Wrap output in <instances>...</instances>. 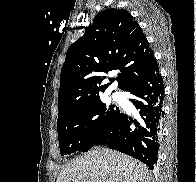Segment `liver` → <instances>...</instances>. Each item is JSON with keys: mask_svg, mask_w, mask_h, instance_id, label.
Here are the masks:
<instances>
[{"mask_svg": "<svg viewBox=\"0 0 196 182\" xmlns=\"http://www.w3.org/2000/svg\"><path fill=\"white\" fill-rule=\"evenodd\" d=\"M56 182H150V173L125 154L97 147L63 167Z\"/></svg>", "mask_w": 196, "mask_h": 182, "instance_id": "6515ba94", "label": "liver"}]
</instances>
